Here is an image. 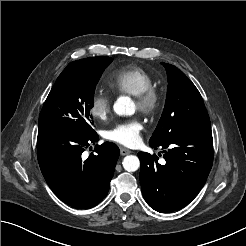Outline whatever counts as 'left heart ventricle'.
Here are the masks:
<instances>
[{
	"label": "left heart ventricle",
	"mask_w": 246,
	"mask_h": 246,
	"mask_svg": "<svg viewBox=\"0 0 246 246\" xmlns=\"http://www.w3.org/2000/svg\"><path fill=\"white\" fill-rule=\"evenodd\" d=\"M134 108H135V109H137V105H136V103H134Z\"/></svg>",
	"instance_id": "left-heart-ventricle-1"
}]
</instances>
